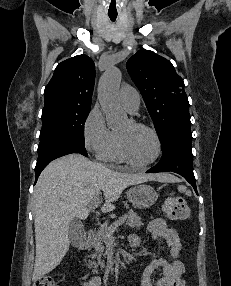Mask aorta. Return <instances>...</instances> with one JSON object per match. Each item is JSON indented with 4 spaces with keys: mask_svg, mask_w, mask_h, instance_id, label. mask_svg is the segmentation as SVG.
<instances>
[{
    "mask_svg": "<svg viewBox=\"0 0 231 286\" xmlns=\"http://www.w3.org/2000/svg\"><path fill=\"white\" fill-rule=\"evenodd\" d=\"M121 72L116 67L105 71L98 84V99L109 128H115L127 120V114L118 101Z\"/></svg>",
    "mask_w": 231,
    "mask_h": 286,
    "instance_id": "aorta-1",
    "label": "aorta"
}]
</instances>
